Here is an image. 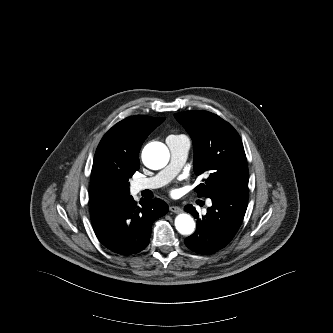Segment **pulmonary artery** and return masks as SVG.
Listing matches in <instances>:
<instances>
[{
    "label": "pulmonary artery",
    "mask_w": 333,
    "mask_h": 333,
    "mask_svg": "<svg viewBox=\"0 0 333 333\" xmlns=\"http://www.w3.org/2000/svg\"><path fill=\"white\" fill-rule=\"evenodd\" d=\"M166 143L170 150L169 165L153 177L137 179L134 182L136 191L156 189L166 185L184 165L190 147L189 140L186 137H168ZM208 205H211V202Z\"/></svg>",
    "instance_id": "obj_1"
}]
</instances>
